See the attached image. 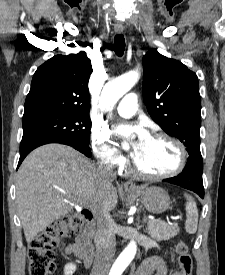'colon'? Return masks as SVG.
Masks as SVG:
<instances>
[{
	"mask_svg": "<svg viewBox=\"0 0 225 275\" xmlns=\"http://www.w3.org/2000/svg\"><path fill=\"white\" fill-rule=\"evenodd\" d=\"M91 220V212L83 209L51 223L41 231L30 244L29 275H50L54 269L55 250L60 240L79 232ZM176 252L181 275H192L193 261L184 241L177 243Z\"/></svg>",
	"mask_w": 225,
	"mask_h": 275,
	"instance_id": "obj_1",
	"label": "colon"
}]
</instances>
